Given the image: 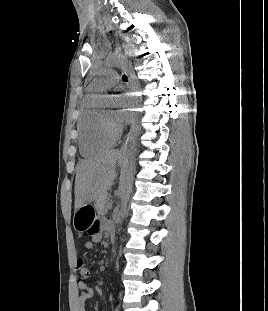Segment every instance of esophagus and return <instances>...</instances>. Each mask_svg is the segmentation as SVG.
I'll use <instances>...</instances> for the list:
<instances>
[{
  "label": "esophagus",
  "mask_w": 268,
  "mask_h": 311,
  "mask_svg": "<svg viewBox=\"0 0 268 311\" xmlns=\"http://www.w3.org/2000/svg\"><path fill=\"white\" fill-rule=\"evenodd\" d=\"M128 80L130 82V77H128ZM132 136V130L129 131L128 135H127V138L126 140L124 141V143L122 144L121 148H120V151H119V154L121 156L125 155L126 151H127V147H128V143H129V140Z\"/></svg>",
  "instance_id": "esophagus-1"
}]
</instances>
